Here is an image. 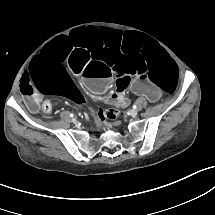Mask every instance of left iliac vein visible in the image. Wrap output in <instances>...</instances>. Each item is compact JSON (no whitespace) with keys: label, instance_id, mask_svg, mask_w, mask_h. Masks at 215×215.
<instances>
[{"label":"left iliac vein","instance_id":"4c4485c4","mask_svg":"<svg viewBox=\"0 0 215 215\" xmlns=\"http://www.w3.org/2000/svg\"><path fill=\"white\" fill-rule=\"evenodd\" d=\"M138 114V111L136 109H132L129 111V115L132 117H136Z\"/></svg>","mask_w":215,"mask_h":215}]
</instances>
